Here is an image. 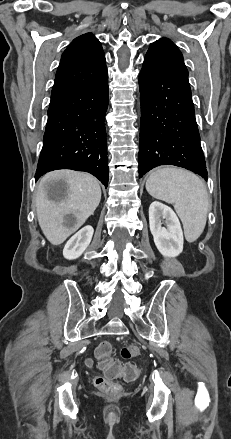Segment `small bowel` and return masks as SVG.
<instances>
[{"label": "small bowel", "instance_id": "1", "mask_svg": "<svg viewBox=\"0 0 231 439\" xmlns=\"http://www.w3.org/2000/svg\"><path fill=\"white\" fill-rule=\"evenodd\" d=\"M88 363H89V364H91V363H92V361H91V360H89V361H88Z\"/></svg>", "mask_w": 231, "mask_h": 439}]
</instances>
